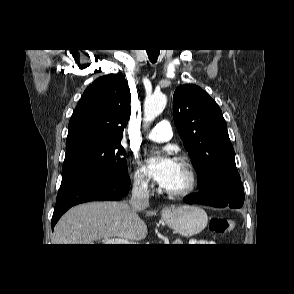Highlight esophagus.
<instances>
[{
	"mask_svg": "<svg viewBox=\"0 0 294 294\" xmlns=\"http://www.w3.org/2000/svg\"><path fill=\"white\" fill-rule=\"evenodd\" d=\"M165 211H170V209H166Z\"/></svg>",
	"mask_w": 294,
	"mask_h": 294,
	"instance_id": "obj_1",
	"label": "esophagus"
}]
</instances>
